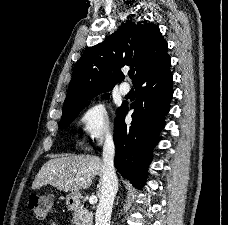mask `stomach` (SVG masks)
I'll return each instance as SVG.
<instances>
[{"mask_svg":"<svg viewBox=\"0 0 228 225\" xmlns=\"http://www.w3.org/2000/svg\"><path fill=\"white\" fill-rule=\"evenodd\" d=\"M80 203V193H69L66 197V205L73 209V207H77Z\"/></svg>","mask_w":228,"mask_h":225,"instance_id":"obj_1","label":"stomach"}]
</instances>
